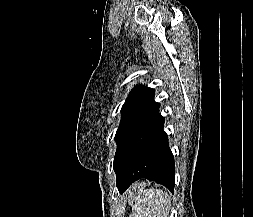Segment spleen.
<instances>
[{
  "instance_id": "3e777b00",
  "label": "spleen",
  "mask_w": 253,
  "mask_h": 217,
  "mask_svg": "<svg viewBox=\"0 0 253 217\" xmlns=\"http://www.w3.org/2000/svg\"><path fill=\"white\" fill-rule=\"evenodd\" d=\"M130 202L134 203L132 217H168L171 197L160 189L150 188L135 196L130 193Z\"/></svg>"
}]
</instances>
